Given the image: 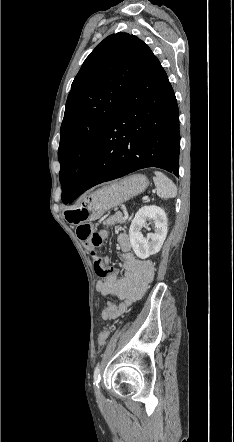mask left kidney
I'll return each mask as SVG.
<instances>
[{"label":"left kidney","instance_id":"1","mask_svg":"<svg viewBox=\"0 0 234 442\" xmlns=\"http://www.w3.org/2000/svg\"><path fill=\"white\" fill-rule=\"evenodd\" d=\"M147 220H153L155 232L149 233L147 238H144L141 229L147 225ZM167 232V217L162 208L155 205L140 208L135 214L129 229L130 243L136 256L146 259L158 253L167 236Z\"/></svg>","mask_w":234,"mask_h":442}]
</instances>
